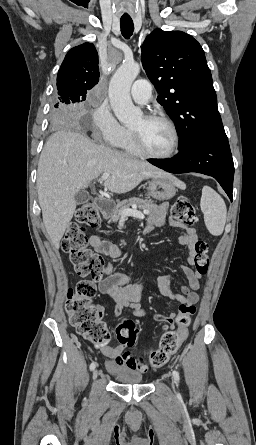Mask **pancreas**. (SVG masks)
Wrapping results in <instances>:
<instances>
[{"label": "pancreas", "mask_w": 256, "mask_h": 445, "mask_svg": "<svg viewBox=\"0 0 256 445\" xmlns=\"http://www.w3.org/2000/svg\"><path fill=\"white\" fill-rule=\"evenodd\" d=\"M137 205L140 209H145L148 211L147 214H154L158 211V206L152 201L143 200L140 198H129L119 202L114 206L111 214L109 215L110 222H117L121 217V211L124 209H130V206Z\"/></svg>", "instance_id": "1"}]
</instances>
